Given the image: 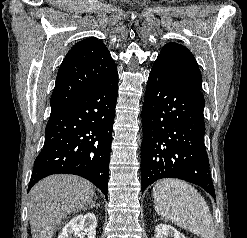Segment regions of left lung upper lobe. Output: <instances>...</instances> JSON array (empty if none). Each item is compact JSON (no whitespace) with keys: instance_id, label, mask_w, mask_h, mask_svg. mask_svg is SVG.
Here are the masks:
<instances>
[{"instance_id":"obj_1","label":"left lung upper lobe","mask_w":247,"mask_h":238,"mask_svg":"<svg viewBox=\"0 0 247 238\" xmlns=\"http://www.w3.org/2000/svg\"><path fill=\"white\" fill-rule=\"evenodd\" d=\"M154 64L162 65L178 78L202 89V76L197 61L185 46L167 43Z\"/></svg>"}]
</instances>
